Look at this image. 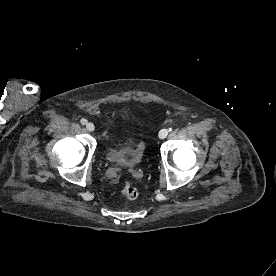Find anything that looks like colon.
I'll list each match as a JSON object with an SVG mask.
<instances>
[{"label":"colon","mask_w":276,"mask_h":276,"mask_svg":"<svg viewBox=\"0 0 276 276\" xmlns=\"http://www.w3.org/2000/svg\"><path fill=\"white\" fill-rule=\"evenodd\" d=\"M121 193L127 199H136L139 195V190L135 185L125 183L121 188Z\"/></svg>","instance_id":"obj_1"}]
</instances>
